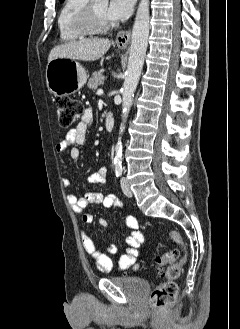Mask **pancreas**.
<instances>
[{
	"label": "pancreas",
	"instance_id": "cf45deb5",
	"mask_svg": "<svg viewBox=\"0 0 240 329\" xmlns=\"http://www.w3.org/2000/svg\"><path fill=\"white\" fill-rule=\"evenodd\" d=\"M104 81V76L101 72H94L92 77L88 81V87L90 89H96Z\"/></svg>",
	"mask_w": 240,
	"mask_h": 329
}]
</instances>
